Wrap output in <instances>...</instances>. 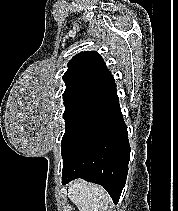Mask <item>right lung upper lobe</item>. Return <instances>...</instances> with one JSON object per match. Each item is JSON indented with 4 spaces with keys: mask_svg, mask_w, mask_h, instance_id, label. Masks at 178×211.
I'll use <instances>...</instances> for the list:
<instances>
[{
    "mask_svg": "<svg viewBox=\"0 0 178 211\" xmlns=\"http://www.w3.org/2000/svg\"><path fill=\"white\" fill-rule=\"evenodd\" d=\"M66 89L64 105L94 103L116 92V84L101 56L95 51L82 52L68 63L63 76Z\"/></svg>",
    "mask_w": 178,
    "mask_h": 211,
    "instance_id": "cb5924a9",
    "label": "right lung upper lobe"
}]
</instances>
